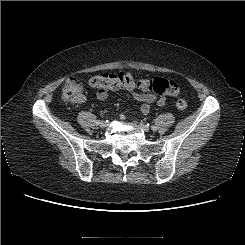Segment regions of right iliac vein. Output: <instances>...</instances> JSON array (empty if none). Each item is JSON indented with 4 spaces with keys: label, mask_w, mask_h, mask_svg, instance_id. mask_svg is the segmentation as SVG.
I'll return each instance as SVG.
<instances>
[{
    "label": "right iliac vein",
    "mask_w": 245,
    "mask_h": 245,
    "mask_svg": "<svg viewBox=\"0 0 245 245\" xmlns=\"http://www.w3.org/2000/svg\"><path fill=\"white\" fill-rule=\"evenodd\" d=\"M99 126H100L101 128H105V127L108 126V123L105 122V121H101V122L99 123Z\"/></svg>",
    "instance_id": "1"
}]
</instances>
